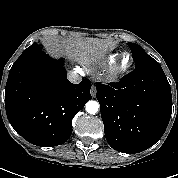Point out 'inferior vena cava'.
Instances as JSON below:
<instances>
[{
  "mask_svg": "<svg viewBox=\"0 0 178 178\" xmlns=\"http://www.w3.org/2000/svg\"><path fill=\"white\" fill-rule=\"evenodd\" d=\"M68 80L72 83H80L82 78L75 72H69L68 73Z\"/></svg>",
  "mask_w": 178,
  "mask_h": 178,
  "instance_id": "inferior-vena-cava-1",
  "label": "inferior vena cava"
}]
</instances>
